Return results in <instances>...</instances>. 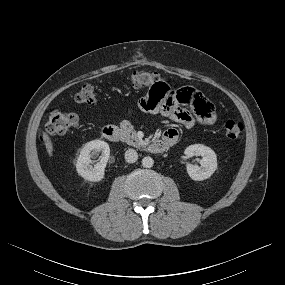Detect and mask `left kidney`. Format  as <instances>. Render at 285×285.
<instances>
[{
	"instance_id": "left-kidney-1",
	"label": "left kidney",
	"mask_w": 285,
	"mask_h": 285,
	"mask_svg": "<svg viewBox=\"0 0 285 285\" xmlns=\"http://www.w3.org/2000/svg\"><path fill=\"white\" fill-rule=\"evenodd\" d=\"M187 157L202 156L201 166L188 164V175L195 181H202L209 178L217 169V157L215 152L202 144L188 146L185 151Z\"/></svg>"
}]
</instances>
